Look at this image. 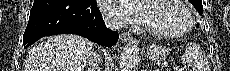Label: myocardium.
I'll return each instance as SVG.
<instances>
[{
  "mask_svg": "<svg viewBox=\"0 0 230 71\" xmlns=\"http://www.w3.org/2000/svg\"><path fill=\"white\" fill-rule=\"evenodd\" d=\"M176 4L185 14L187 23L186 25L177 31H160L153 29L149 27L148 25L145 26V30L147 31L148 34L151 36L157 37V38H163V39H176V38H181L188 34L194 27L195 25V18L193 15V12L191 9L187 6V4L184 1L180 0H169Z\"/></svg>",
  "mask_w": 230,
  "mask_h": 71,
  "instance_id": "myocardium-1",
  "label": "myocardium"
}]
</instances>
